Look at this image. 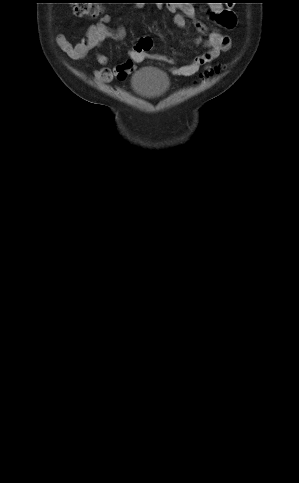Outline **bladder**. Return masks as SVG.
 I'll return each mask as SVG.
<instances>
[{
	"mask_svg": "<svg viewBox=\"0 0 299 483\" xmlns=\"http://www.w3.org/2000/svg\"><path fill=\"white\" fill-rule=\"evenodd\" d=\"M132 83L135 92L144 97L158 95L169 88L168 78L155 68L139 70L133 76Z\"/></svg>",
	"mask_w": 299,
	"mask_h": 483,
	"instance_id": "obj_1",
	"label": "bladder"
}]
</instances>
